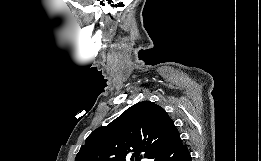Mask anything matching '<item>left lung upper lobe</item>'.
Instances as JSON below:
<instances>
[{
    "instance_id": "left-lung-upper-lobe-1",
    "label": "left lung upper lobe",
    "mask_w": 261,
    "mask_h": 161,
    "mask_svg": "<svg viewBox=\"0 0 261 161\" xmlns=\"http://www.w3.org/2000/svg\"><path fill=\"white\" fill-rule=\"evenodd\" d=\"M176 127L165 110L150 101L128 108L105 127L94 130L82 145L75 161H139L149 158L166 144Z\"/></svg>"
}]
</instances>
